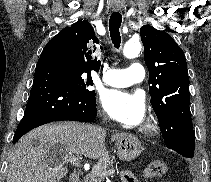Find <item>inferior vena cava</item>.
I'll return each instance as SVG.
<instances>
[{
    "label": "inferior vena cava",
    "mask_w": 211,
    "mask_h": 182,
    "mask_svg": "<svg viewBox=\"0 0 211 182\" xmlns=\"http://www.w3.org/2000/svg\"><path fill=\"white\" fill-rule=\"evenodd\" d=\"M96 133L97 134H102L103 133V127L102 126H97L96 127Z\"/></svg>",
    "instance_id": "602c4592"
}]
</instances>
